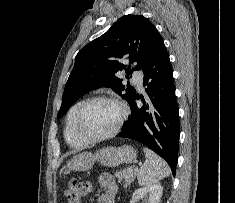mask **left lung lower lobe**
Returning <instances> with one entry per match:
<instances>
[{"label":"left lung lower lobe","mask_w":235,"mask_h":203,"mask_svg":"<svg viewBox=\"0 0 235 203\" xmlns=\"http://www.w3.org/2000/svg\"><path fill=\"white\" fill-rule=\"evenodd\" d=\"M143 85L148 99L138 108L135 96L130 101L131 116L117 137L145 144L169 164L175 176L180 123L169 55L161 38L144 64Z\"/></svg>","instance_id":"obj_1"}]
</instances>
